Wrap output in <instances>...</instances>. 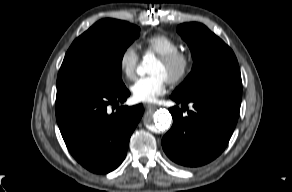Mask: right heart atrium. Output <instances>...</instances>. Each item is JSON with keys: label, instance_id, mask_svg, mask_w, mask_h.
Wrapping results in <instances>:
<instances>
[{"label": "right heart atrium", "instance_id": "right-heart-atrium-1", "mask_svg": "<svg viewBox=\"0 0 292 192\" xmlns=\"http://www.w3.org/2000/svg\"><path fill=\"white\" fill-rule=\"evenodd\" d=\"M139 55L134 45H127L120 53L118 65L127 79H133L138 65Z\"/></svg>", "mask_w": 292, "mask_h": 192}]
</instances>
